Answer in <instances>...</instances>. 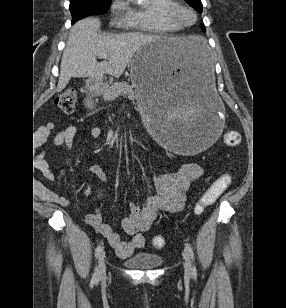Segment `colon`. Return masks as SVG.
Returning a JSON list of instances; mask_svg holds the SVG:
<instances>
[{
	"instance_id": "1",
	"label": "colon",
	"mask_w": 286,
	"mask_h": 308,
	"mask_svg": "<svg viewBox=\"0 0 286 308\" xmlns=\"http://www.w3.org/2000/svg\"><path fill=\"white\" fill-rule=\"evenodd\" d=\"M76 101L75 88H67L56 96L54 104L62 112L71 113L75 109ZM223 141L227 146L236 147L241 142V135L236 130H228L223 135ZM233 174V169H228L211 183L194 206L196 214H202L207 206L213 204L223 194L231 185ZM165 243V238L161 235H156L152 239V245L155 248H163Z\"/></svg>"
}]
</instances>
